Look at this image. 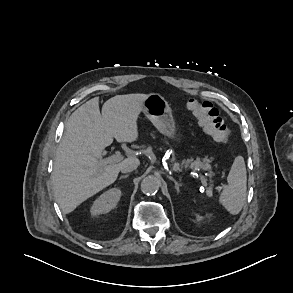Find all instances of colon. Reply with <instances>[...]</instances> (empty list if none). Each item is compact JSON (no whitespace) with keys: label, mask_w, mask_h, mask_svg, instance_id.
Listing matches in <instances>:
<instances>
[{"label":"colon","mask_w":293,"mask_h":293,"mask_svg":"<svg viewBox=\"0 0 293 293\" xmlns=\"http://www.w3.org/2000/svg\"><path fill=\"white\" fill-rule=\"evenodd\" d=\"M187 109L204 132L216 142L225 143L229 140L231 131L224 123L219 111L211 102L190 99L187 102Z\"/></svg>","instance_id":"5ec220e1"}]
</instances>
